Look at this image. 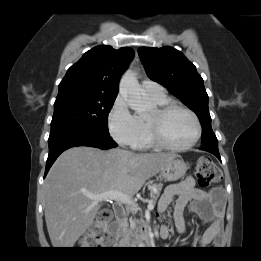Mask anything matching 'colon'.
Here are the masks:
<instances>
[{
    "label": "colon",
    "instance_id": "obj_1",
    "mask_svg": "<svg viewBox=\"0 0 261 261\" xmlns=\"http://www.w3.org/2000/svg\"><path fill=\"white\" fill-rule=\"evenodd\" d=\"M194 176L198 184L203 187L217 183L222 178L220 169L214 164L211 158L205 156L197 160ZM112 216V212L109 209H105L99 213L97 222L80 243L82 249H93V247L102 242L105 236V229L111 221Z\"/></svg>",
    "mask_w": 261,
    "mask_h": 261
}]
</instances>
